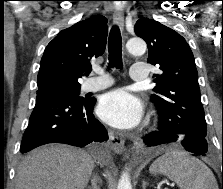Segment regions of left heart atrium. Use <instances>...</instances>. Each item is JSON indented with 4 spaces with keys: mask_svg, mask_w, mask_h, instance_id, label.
Returning a JSON list of instances; mask_svg holds the SVG:
<instances>
[{
    "mask_svg": "<svg viewBox=\"0 0 223 189\" xmlns=\"http://www.w3.org/2000/svg\"><path fill=\"white\" fill-rule=\"evenodd\" d=\"M97 113L111 126L130 129L139 123L142 116V105L140 100L128 91L116 89L101 97Z\"/></svg>",
    "mask_w": 223,
    "mask_h": 189,
    "instance_id": "left-heart-atrium-1",
    "label": "left heart atrium"
}]
</instances>
